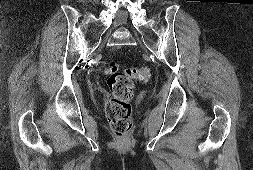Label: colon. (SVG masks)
I'll return each mask as SVG.
<instances>
[{"label":"colon","instance_id":"obj_1","mask_svg":"<svg viewBox=\"0 0 253 170\" xmlns=\"http://www.w3.org/2000/svg\"><path fill=\"white\" fill-rule=\"evenodd\" d=\"M106 71L111 90V97L106 104L107 119L117 139L125 140L131 127L130 102L134 92V81H149L151 72L146 66L121 70L115 61L108 63Z\"/></svg>","mask_w":253,"mask_h":170}]
</instances>
